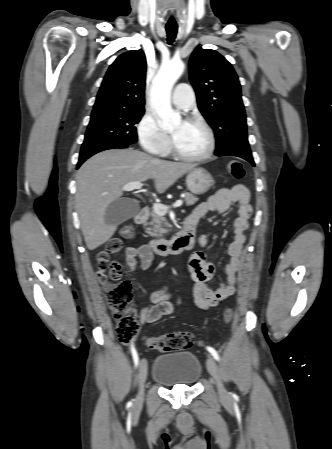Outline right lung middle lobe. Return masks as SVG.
Returning <instances> with one entry per match:
<instances>
[{"instance_id": "dd1d6c3e", "label": "right lung middle lobe", "mask_w": 332, "mask_h": 449, "mask_svg": "<svg viewBox=\"0 0 332 449\" xmlns=\"http://www.w3.org/2000/svg\"><path fill=\"white\" fill-rule=\"evenodd\" d=\"M144 110H118L91 114L81 151L107 143L134 144Z\"/></svg>"}]
</instances>
